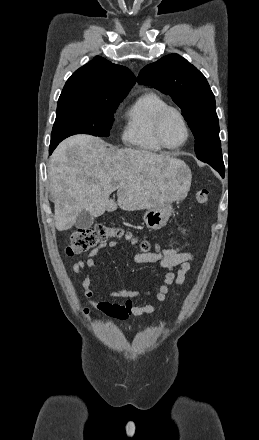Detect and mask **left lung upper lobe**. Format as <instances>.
<instances>
[{
	"mask_svg": "<svg viewBox=\"0 0 259 440\" xmlns=\"http://www.w3.org/2000/svg\"><path fill=\"white\" fill-rule=\"evenodd\" d=\"M138 82L172 97L193 132L197 158L217 171L223 168L215 97L204 75L183 57L170 54L144 67Z\"/></svg>",
	"mask_w": 259,
	"mask_h": 440,
	"instance_id": "5c2ea615",
	"label": "left lung upper lobe"
}]
</instances>
